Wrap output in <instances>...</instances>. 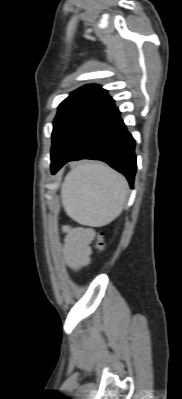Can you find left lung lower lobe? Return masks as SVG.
Here are the masks:
<instances>
[{
  "mask_svg": "<svg viewBox=\"0 0 182 399\" xmlns=\"http://www.w3.org/2000/svg\"><path fill=\"white\" fill-rule=\"evenodd\" d=\"M135 141L120 119L112 99L88 115L60 155L52 160L55 174L65 163L80 159L101 160L124 174L133 188L136 172Z\"/></svg>",
  "mask_w": 182,
  "mask_h": 399,
  "instance_id": "1",
  "label": "left lung lower lobe"
}]
</instances>
